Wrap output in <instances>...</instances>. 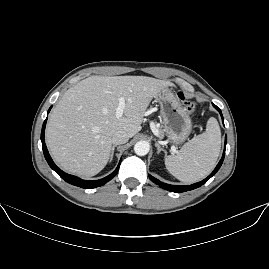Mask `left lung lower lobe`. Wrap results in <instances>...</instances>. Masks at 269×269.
I'll return each mask as SVG.
<instances>
[{
  "label": "left lung lower lobe",
  "instance_id": "left-lung-lower-lobe-1",
  "mask_svg": "<svg viewBox=\"0 0 269 269\" xmlns=\"http://www.w3.org/2000/svg\"><path fill=\"white\" fill-rule=\"evenodd\" d=\"M213 106L219 111L220 115H221V118H222V121H223V115H222V112L221 110L213 104ZM224 124V122H223ZM226 143H227V136H225V144H224V152H223V155H222V158L221 160L219 161L218 165L216 166V168L214 169V171L207 177L205 178L204 180L198 182V183H195V184H192V185H188V186H177V185H170V184H166V183H162L160 182L158 179L154 178L153 176L149 175V178L155 183V184H158L160 185L162 188L168 190V191H171V192H176V193H181V192H185V191H189V190H193L195 188H198L200 187L201 185H203L208 179H210L213 175H215V173L219 170V168L221 167L222 163H223V160H224V157H225V148H226Z\"/></svg>",
  "mask_w": 269,
  "mask_h": 269
}]
</instances>
